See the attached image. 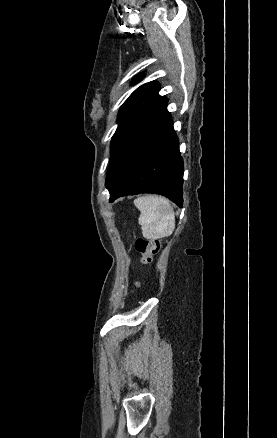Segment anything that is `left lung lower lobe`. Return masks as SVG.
<instances>
[{
  "label": "left lung lower lobe",
  "mask_w": 277,
  "mask_h": 438,
  "mask_svg": "<svg viewBox=\"0 0 277 438\" xmlns=\"http://www.w3.org/2000/svg\"><path fill=\"white\" fill-rule=\"evenodd\" d=\"M166 106V98L155 96L142 105L123 166L108 189L110 202L121 196L155 193L182 207L184 165Z\"/></svg>",
  "instance_id": "left-lung-lower-lobe-1"
}]
</instances>
